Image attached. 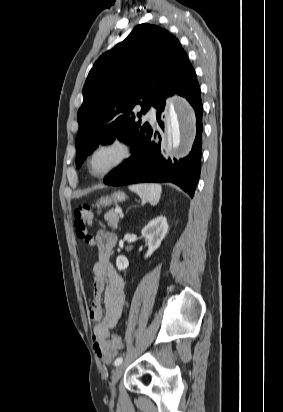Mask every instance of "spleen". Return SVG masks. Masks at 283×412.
Returning <instances> with one entry per match:
<instances>
[{"mask_svg": "<svg viewBox=\"0 0 283 412\" xmlns=\"http://www.w3.org/2000/svg\"><path fill=\"white\" fill-rule=\"evenodd\" d=\"M129 190L137 193L143 201H148L153 206L157 205L162 193L161 185L155 183L130 185Z\"/></svg>", "mask_w": 283, "mask_h": 412, "instance_id": "3e777b00", "label": "spleen"}]
</instances>
